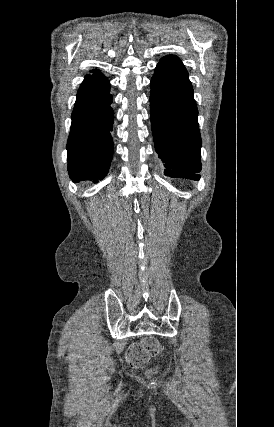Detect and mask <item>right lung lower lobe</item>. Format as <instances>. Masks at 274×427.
I'll return each mask as SVG.
<instances>
[{
	"label": "right lung lower lobe",
	"mask_w": 274,
	"mask_h": 427,
	"mask_svg": "<svg viewBox=\"0 0 274 427\" xmlns=\"http://www.w3.org/2000/svg\"><path fill=\"white\" fill-rule=\"evenodd\" d=\"M110 83L99 71L86 75L77 93L67 143L68 172L73 182L102 180L113 155L114 112Z\"/></svg>",
	"instance_id": "right-lung-lower-lobe-1"
}]
</instances>
